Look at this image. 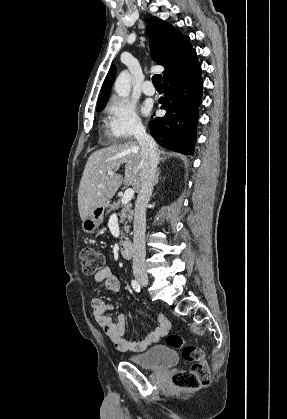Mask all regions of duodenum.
I'll return each mask as SVG.
<instances>
[{
    "label": "duodenum",
    "instance_id": "obj_1",
    "mask_svg": "<svg viewBox=\"0 0 287 419\" xmlns=\"http://www.w3.org/2000/svg\"><path fill=\"white\" fill-rule=\"evenodd\" d=\"M120 252L124 258L130 259L134 254L133 243L130 240H123L120 245Z\"/></svg>",
    "mask_w": 287,
    "mask_h": 419
}]
</instances>
